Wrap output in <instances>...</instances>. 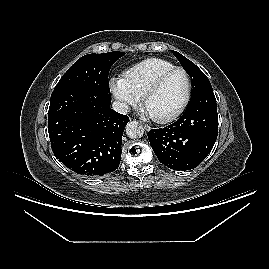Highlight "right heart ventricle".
Here are the masks:
<instances>
[{"instance_id":"e07e8e85","label":"right heart ventricle","mask_w":269,"mask_h":269,"mask_svg":"<svg viewBox=\"0 0 269 269\" xmlns=\"http://www.w3.org/2000/svg\"><path fill=\"white\" fill-rule=\"evenodd\" d=\"M175 67L173 63L162 58L145 59L124 73V79L130 89L141 96L144 90L164 71Z\"/></svg>"}]
</instances>
